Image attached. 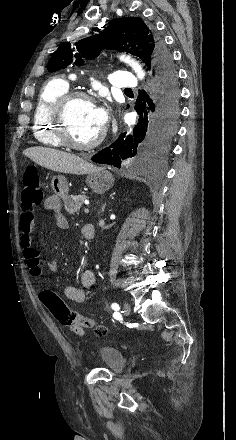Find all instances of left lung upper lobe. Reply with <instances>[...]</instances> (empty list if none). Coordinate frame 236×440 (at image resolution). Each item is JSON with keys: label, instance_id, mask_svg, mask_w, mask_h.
<instances>
[{"label": "left lung upper lobe", "instance_id": "left-lung-upper-lobe-1", "mask_svg": "<svg viewBox=\"0 0 236 440\" xmlns=\"http://www.w3.org/2000/svg\"><path fill=\"white\" fill-rule=\"evenodd\" d=\"M104 48L135 55L147 66L159 61L166 64L172 62L156 32L141 18L129 17L114 20L98 36L82 39L75 44L63 43L53 53L46 67L52 72L66 68L73 62L81 66L84 63L82 58H95Z\"/></svg>", "mask_w": 236, "mask_h": 440}]
</instances>
